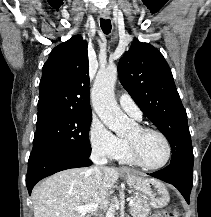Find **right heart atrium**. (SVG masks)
<instances>
[{
    "mask_svg": "<svg viewBox=\"0 0 211 217\" xmlns=\"http://www.w3.org/2000/svg\"><path fill=\"white\" fill-rule=\"evenodd\" d=\"M89 138L93 151L108 159H117L125 146L123 139L116 136L98 120L92 121Z\"/></svg>",
    "mask_w": 211,
    "mask_h": 217,
    "instance_id": "obj_1",
    "label": "right heart atrium"
}]
</instances>
